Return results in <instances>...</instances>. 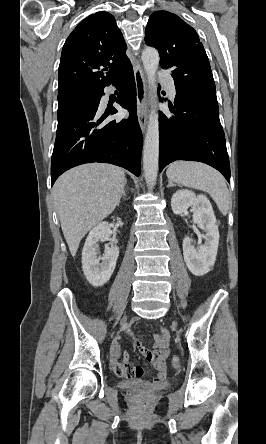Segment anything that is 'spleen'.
<instances>
[{
  "instance_id": "1",
  "label": "spleen",
  "mask_w": 266,
  "mask_h": 444,
  "mask_svg": "<svg viewBox=\"0 0 266 444\" xmlns=\"http://www.w3.org/2000/svg\"><path fill=\"white\" fill-rule=\"evenodd\" d=\"M169 180L185 187L207 192L223 215L228 213L230 195L223 176L200 162L176 161L166 172Z\"/></svg>"
}]
</instances>
